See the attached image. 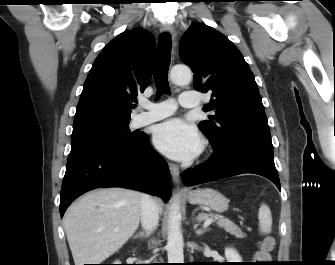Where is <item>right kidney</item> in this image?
<instances>
[{
    "mask_svg": "<svg viewBox=\"0 0 335 265\" xmlns=\"http://www.w3.org/2000/svg\"><path fill=\"white\" fill-rule=\"evenodd\" d=\"M115 264H120V262H115Z\"/></svg>",
    "mask_w": 335,
    "mask_h": 265,
    "instance_id": "obj_1",
    "label": "right kidney"
}]
</instances>
